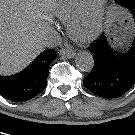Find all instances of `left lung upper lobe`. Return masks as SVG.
<instances>
[{"label":"left lung upper lobe","instance_id":"obj_1","mask_svg":"<svg viewBox=\"0 0 135 135\" xmlns=\"http://www.w3.org/2000/svg\"><path fill=\"white\" fill-rule=\"evenodd\" d=\"M116 3L125 8L131 7L132 3H135V0H115Z\"/></svg>","mask_w":135,"mask_h":135}]
</instances>
